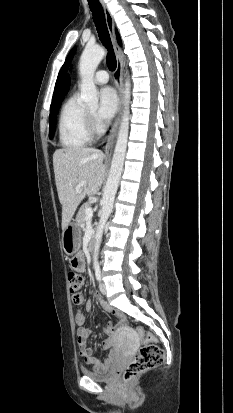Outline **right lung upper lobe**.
Here are the masks:
<instances>
[{
    "label": "right lung upper lobe",
    "mask_w": 233,
    "mask_h": 413,
    "mask_svg": "<svg viewBox=\"0 0 233 413\" xmlns=\"http://www.w3.org/2000/svg\"><path fill=\"white\" fill-rule=\"evenodd\" d=\"M118 42L121 45V41L118 37ZM69 87H70V78L69 76H67L62 84V88H61V94L59 95V97L57 98V100L54 102V105L51 106H55L57 104H59L60 102H62L64 95H66L69 91ZM55 100V99H54ZM53 100V101H54Z\"/></svg>",
    "instance_id": "obj_1"
}]
</instances>
